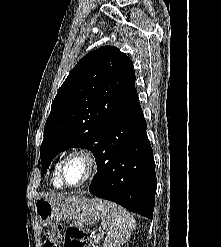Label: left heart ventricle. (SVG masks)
<instances>
[{
	"label": "left heart ventricle",
	"instance_id": "b2bd125f",
	"mask_svg": "<svg viewBox=\"0 0 221 247\" xmlns=\"http://www.w3.org/2000/svg\"><path fill=\"white\" fill-rule=\"evenodd\" d=\"M86 174V165L81 158H72L65 168V178L69 184L79 183Z\"/></svg>",
	"mask_w": 221,
	"mask_h": 247
}]
</instances>
